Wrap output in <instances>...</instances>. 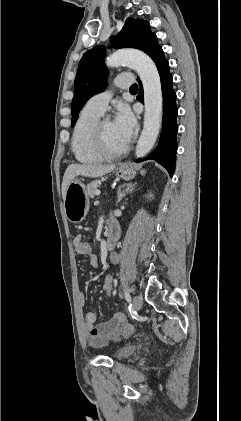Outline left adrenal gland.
Returning <instances> with one entry per match:
<instances>
[{"label": "left adrenal gland", "instance_id": "a2214340", "mask_svg": "<svg viewBox=\"0 0 241 421\" xmlns=\"http://www.w3.org/2000/svg\"><path fill=\"white\" fill-rule=\"evenodd\" d=\"M125 186L126 189L122 190V188H124ZM136 186V183H129V184H123L121 186H119L118 191H117V203H119L123 197L126 196V194L132 192L134 190Z\"/></svg>", "mask_w": 241, "mask_h": 421}]
</instances>
